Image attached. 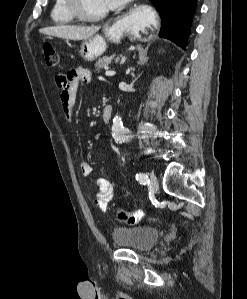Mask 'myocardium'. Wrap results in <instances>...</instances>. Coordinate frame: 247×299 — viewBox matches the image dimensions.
Segmentation results:
<instances>
[{"mask_svg":"<svg viewBox=\"0 0 247 299\" xmlns=\"http://www.w3.org/2000/svg\"><path fill=\"white\" fill-rule=\"evenodd\" d=\"M70 13L78 20L93 22L103 19L107 16L109 10H103L96 14H89L85 11L82 0H66Z\"/></svg>","mask_w":247,"mask_h":299,"instance_id":"obj_1","label":"myocardium"}]
</instances>
